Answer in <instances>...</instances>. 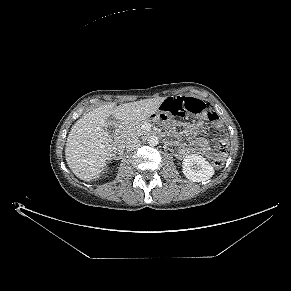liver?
Wrapping results in <instances>:
<instances>
[{"instance_id": "liver-1", "label": "liver", "mask_w": 291, "mask_h": 291, "mask_svg": "<svg viewBox=\"0 0 291 291\" xmlns=\"http://www.w3.org/2000/svg\"><path fill=\"white\" fill-rule=\"evenodd\" d=\"M165 97L139 100L115 106L109 103L80 118L68 134L65 158L71 171L81 180L91 181L103 171L111 158L113 140L105 130L112 115L126 124L142 122L158 111Z\"/></svg>"}]
</instances>
